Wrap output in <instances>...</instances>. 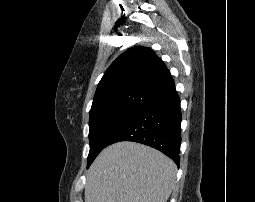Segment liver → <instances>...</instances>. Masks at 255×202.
<instances>
[{
  "mask_svg": "<svg viewBox=\"0 0 255 202\" xmlns=\"http://www.w3.org/2000/svg\"><path fill=\"white\" fill-rule=\"evenodd\" d=\"M177 167L160 151L123 141L105 148L91 165L85 202H166Z\"/></svg>",
  "mask_w": 255,
  "mask_h": 202,
  "instance_id": "1",
  "label": "liver"
}]
</instances>
